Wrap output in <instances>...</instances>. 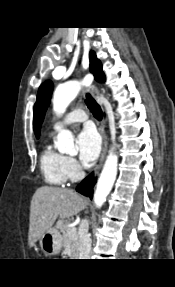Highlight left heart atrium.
<instances>
[{
    "instance_id": "obj_1",
    "label": "left heart atrium",
    "mask_w": 175,
    "mask_h": 287,
    "mask_svg": "<svg viewBox=\"0 0 175 287\" xmlns=\"http://www.w3.org/2000/svg\"><path fill=\"white\" fill-rule=\"evenodd\" d=\"M76 143L82 162L91 163L97 159L101 149V140L93 127L83 128L77 136Z\"/></svg>"
}]
</instances>
